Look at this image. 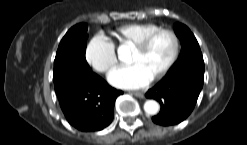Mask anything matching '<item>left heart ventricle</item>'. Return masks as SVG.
<instances>
[{
  "mask_svg": "<svg viewBox=\"0 0 247 145\" xmlns=\"http://www.w3.org/2000/svg\"><path fill=\"white\" fill-rule=\"evenodd\" d=\"M172 51V38L167 34H161L152 41L145 51L139 52L133 49L129 63L141 65L154 76L168 62Z\"/></svg>",
  "mask_w": 247,
  "mask_h": 145,
  "instance_id": "1",
  "label": "left heart ventricle"
}]
</instances>
